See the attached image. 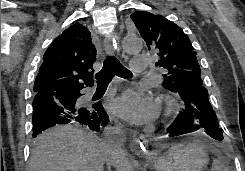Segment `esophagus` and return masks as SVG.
I'll list each match as a JSON object with an SVG mask.
<instances>
[{"label": "esophagus", "mask_w": 245, "mask_h": 171, "mask_svg": "<svg viewBox=\"0 0 245 171\" xmlns=\"http://www.w3.org/2000/svg\"><path fill=\"white\" fill-rule=\"evenodd\" d=\"M104 50L110 56L115 54V46L110 36H106V38L104 39ZM132 146L134 147V151L137 154L145 157L150 156L148 150V140L144 135H133Z\"/></svg>", "instance_id": "esophagus-1"}]
</instances>
